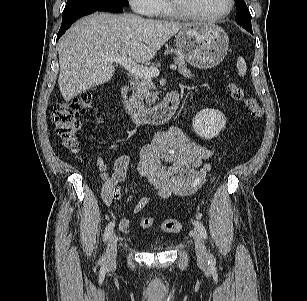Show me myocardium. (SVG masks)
Returning a JSON list of instances; mask_svg holds the SVG:
<instances>
[{"mask_svg": "<svg viewBox=\"0 0 307 301\" xmlns=\"http://www.w3.org/2000/svg\"><path fill=\"white\" fill-rule=\"evenodd\" d=\"M167 9L173 14L181 18L196 21H216L227 17L234 8L235 0H229V6L226 11L216 15H204L192 12L180 0H165Z\"/></svg>", "mask_w": 307, "mask_h": 301, "instance_id": "myocardium-1", "label": "myocardium"}]
</instances>
